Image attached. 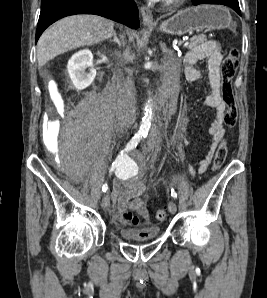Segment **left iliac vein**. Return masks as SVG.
Returning a JSON list of instances; mask_svg holds the SVG:
<instances>
[{
	"instance_id": "obj_1",
	"label": "left iliac vein",
	"mask_w": 267,
	"mask_h": 298,
	"mask_svg": "<svg viewBox=\"0 0 267 298\" xmlns=\"http://www.w3.org/2000/svg\"><path fill=\"white\" fill-rule=\"evenodd\" d=\"M168 209L169 211L172 213V214H175L176 211H177V206H176V203L171 200L169 203H168Z\"/></svg>"
}]
</instances>
